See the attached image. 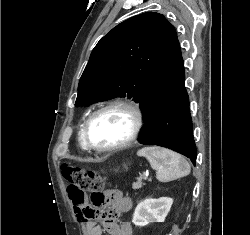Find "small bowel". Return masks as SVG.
<instances>
[{"mask_svg": "<svg viewBox=\"0 0 250 235\" xmlns=\"http://www.w3.org/2000/svg\"><path fill=\"white\" fill-rule=\"evenodd\" d=\"M108 200L102 204L98 211L101 223L90 218V213L95 209L85 202L81 206H74V213L79 222H83L86 235H132V227L127 221L117 220V216L130 211L132 200L119 190H110L107 193Z\"/></svg>", "mask_w": 250, "mask_h": 235, "instance_id": "small-bowel-1", "label": "small bowel"}]
</instances>
